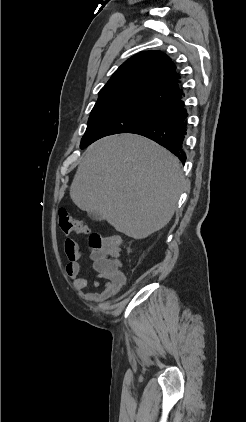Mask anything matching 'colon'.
<instances>
[{
	"instance_id": "colon-1",
	"label": "colon",
	"mask_w": 246,
	"mask_h": 422,
	"mask_svg": "<svg viewBox=\"0 0 246 422\" xmlns=\"http://www.w3.org/2000/svg\"><path fill=\"white\" fill-rule=\"evenodd\" d=\"M59 226L66 234L74 233L89 236L90 249L101 255V268L104 274L116 276L121 272V262L119 260L120 244L122 242L121 235L102 236L84 222L70 217L63 208L59 210Z\"/></svg>"
}]
</instances>
